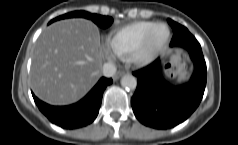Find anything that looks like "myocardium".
<instances>
[{
    "mask_svg": "<svg viewBox=\"0 0 238 145\" xmlns=\"http://www.w3.org/2000/svg\"><path fill=\"white\" fill-rule=\"evenodd\" d=\"M159 27L166 29L164 39L156 46H152L155 30ZM171 37L170 28L165 23H155L144 35L138 46L130 53V60L137 66H146L152 63L165 49Z\"/></svg>",
    "mask_w": 238,
    "mask_h": 145,
    "instance_id": "f54148a6",
    "label": "myocardium"
}]
</instances>
